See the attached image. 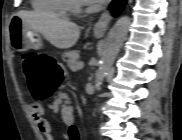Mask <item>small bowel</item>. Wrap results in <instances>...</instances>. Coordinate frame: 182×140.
<instances>
[{"instance_id": "obj_1", "label": "small bowel", "mask_w": 182, "mask_h": 140, "mask_svg": "<svg viewBox=\"0 0 182 140\" xmlns=\"http://www.w3.org/2000/svg\"><path fill=\"white\" fill-rule=\"evenodd\" d=\"M29 110L39 132L45 137L46 140H54L52 136V127L45 116V108L43 105L37 102L31 103ZM68 123H71V121H68Z\"/></svg>"}]
</instances>
